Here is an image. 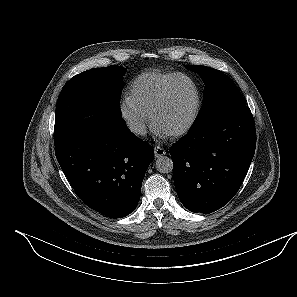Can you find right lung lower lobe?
I'll return each mask as SVG.
<instances>
[{
  "instance_id": "right-lung-lower-lobe-1",
  "label": "right lung lower lobe",
  "mask_w": 297,
  "mask_h": 297,
  "mask_svg": "<svg viewBox=\"0 0 297 297\" xmlns=\"http://www.w3.org/2000/svg\"><path fill=\"white\" fill-rule=\"evenodd\" d=\"M56 158L79 198L110 218L137 206L153 148L130 132L122 118L93 115L55 145Z\"/></svg>"
}]
</instances>
